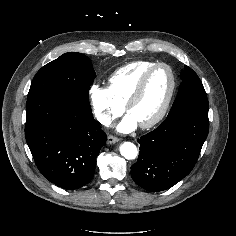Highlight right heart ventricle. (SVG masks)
Wrapping results in <instances>:
<instances>
[{"label": "right heart ventricle", "instance_id": "1", "mask_svg": "<svg viewBox=\"0 0 236 236\" xmlns=\"http://www.w3.org/2000/svg\"><path fill=\"white\" fill-rule=\"evenodd\" d=\"M156 64L153 61H135L118 68L108 80L115 99L125 105L144 72Z\"/></svg>", "mask_w": 236, "mask_h": 236}]
</instances>
